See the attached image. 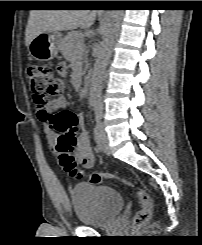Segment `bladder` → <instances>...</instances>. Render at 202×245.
I'll return each instance as SVG.
<instances>
[{
  "instance_id": "31cf9c89",
  "label": "bladder",
  "mask_w": 202,
  "mask_h": 245,
  "mask_svg": "<svg viewBox=\"0 0 202 245\" xmlns=\"http://www.w3.org/2000/svg\"><path fill=\"white\" fill-rule=\"evenodd\" d=\"M72 206L79 223L102 226L124 207L122 194L113 188L97 184H77L72 189Z\"/></svg>"
}]
</instances>
